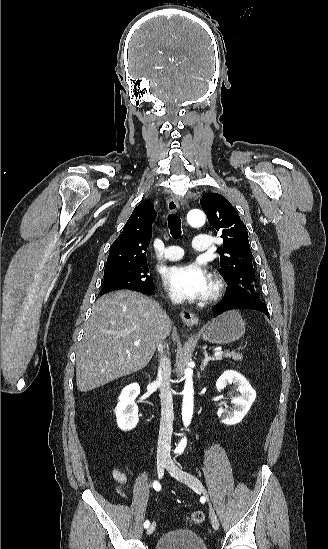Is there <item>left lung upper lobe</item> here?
<instances>
[{"label": "left lung upper lobe", "instance_id": "obj_1", "mask_svg": "<svg viewBox=\"0 0 328 549\" xmlns=\"http://www.w3.org/2000/svg\"><path fill=\"white\" fill-rule=\"evenodd\" d=\"M200 203L210 225L223 238V245L217 251L220 254L219 272L228 285L226 296L260 300L246 225L220 194H205Z\"/></svg>", "mask_w": 328, "mask_h": 549}]
</instances>
